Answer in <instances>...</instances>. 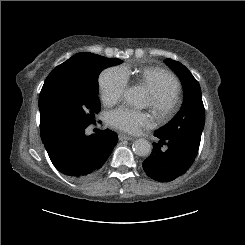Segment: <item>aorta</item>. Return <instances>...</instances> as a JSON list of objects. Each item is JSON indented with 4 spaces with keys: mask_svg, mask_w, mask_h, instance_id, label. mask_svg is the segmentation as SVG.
I'll return each mask as SVG.
<instances>
[{
    "mask_svg": "<svg viewBox=\"0 0 245 245\" xmlns=\"http://www.w3.org/2000/svg\"><path fill=\"white\" fill-rule=\"evenodd\" d=\"M124 98L129 105L136 108H143L145 105L144 94L137 87L127 89ZM132 149L136 155L145 157L151 153V144L146 139L140 138L133 142Z\"/></svg>",
    "mask_w": 245,
    "mask_h": 245,
    "instance_id": "aorta-1",
    "label": "aorta"
}]
</instances>
